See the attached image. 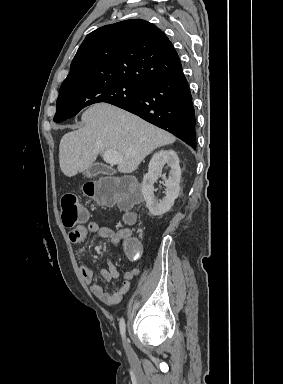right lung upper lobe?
<instances>
[{"label":"right lung upper lobe","instance_id":"1","mask_svg":"<svg viewBox=\"0 0 283 384\" xmlns=\"http://www.w3.org/2000/svg\"><path fill=\"white\" fill-rule=\"evenodd\" d=\"M182 70L178 54L154 24L131 19L88 34L60 88L123 80L143 86Z\"/></svg>","mask_w":283,"mask_h":384}]
</instances>
